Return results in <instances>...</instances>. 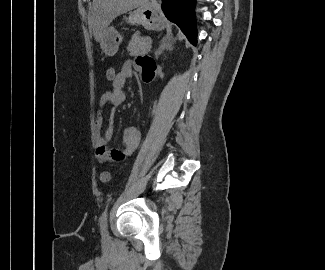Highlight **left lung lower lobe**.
<instances>
[{"label": "left lung lower lobe", "instance_id": "obj_1", "mask_svg": "<svg viewBox=\"0 0 325 270\" xmlns=\"http://www.w3.org/2000/svg\"><path fill=\"white\" fill-rule=\"evenodd\" d=\"M195 0H162V10L171 22L176 23L188 40L196 45Z\"/></svg>", "mask_w": 325, "mask_h": 270}]
</instances>
